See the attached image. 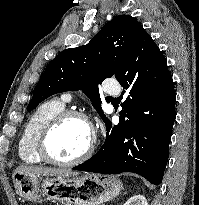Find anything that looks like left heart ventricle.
<instances>
[{
	"label": "left heart ventricle",
	"instance_id": "left-heart-ventricle-1",
	"mask_svg": "<svg viewBox=\"0 0 199 205\" xmlns=\"http://www.w3.org/2000/svg\"><path fill=\"white\" fill-rule=\"evenodd\" d=\"M90 138L87 125L80 119L70 118L53 131L49 140V149L51 154L59 159H72L86 149Z\"/></svg>",
	"mask_w": 199,
	"mask_h": 205
}]
</instances>
